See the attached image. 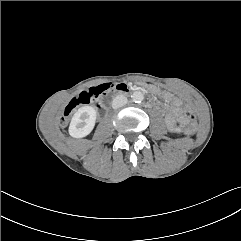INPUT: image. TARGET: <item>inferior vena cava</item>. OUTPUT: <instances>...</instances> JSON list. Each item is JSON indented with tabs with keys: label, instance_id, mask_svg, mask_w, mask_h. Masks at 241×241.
<instances>
[{
	"label": "inferior vena cava",
	"instance_id": "inferior-vena-cava-1",
	"mask_svg": "<svg viewBox=\"0 0 241 241\" xmlns=\"http://www.w3.org/2000/svg\"><path fill=\"white\" fill-rule=\"evenodd\" d=\"M127 98L124 95H118L113 99L112 107L118 109L127 103Z\"/></svg>",
	"mask_w": 241,
	"mask_h": 241
}]
</instances>
